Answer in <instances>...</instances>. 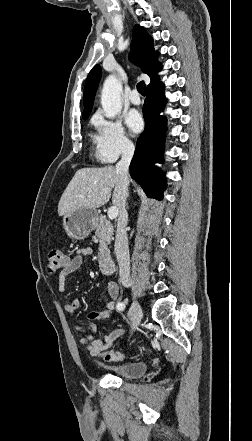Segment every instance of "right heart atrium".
<instances>
[{"label":"right heart atrium","instance_id":"d8ad5b80","mask_svg":"<svg viewBox=\"0 0 252 441\" xmlns=\"http://www.w3.org/2000/svg\"><path fill=\"white\" fill-rule=\"evenodd\" d=\"M96 128V156L103 163H113L119 157L131 156L134 144L128 137L121 120L98 114L94 118Z\"/></svg>","mask_w":252,"mask_h":441}]
</instances>
